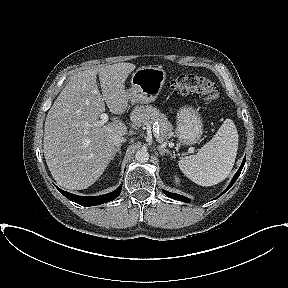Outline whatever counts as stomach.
<instances>
[{
    "mask_svg": "<svg viewBox=\"0 0 288 288\" xmlns=\"http://www.w3.org/2000/svg\"><path fill=\"white\" fill-rule=\"evenodd\" d=\"M166 72L161 67L143 66L131 77V88L126 90L132 104H149L154 102L162 90ZM176 136L183 145H193L203 133V122L200 114L193 107H182L177 112Z\"/></svg>",
    "mask_w": 288,
    "mask_h": 288,
    "instance_id": "obj_1",
    "label": "stomach"
}]
</instances>
